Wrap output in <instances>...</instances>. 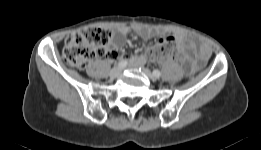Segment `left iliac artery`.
I'll return each mask as SVG.
<instances>
[{
    "instance_id": "44dca946",
    "label": "left iliac artery",
    "mask_w": 261,
    "mask_h": 150,
    "mask_svg": "<svg viewBox=\"0 0 261 150\" xmlns=\"http://www.w3.org/2000/svg\"><path fill=\"white\" fill-rule=\"evenodd\" d=\"M153 75H154L156 78H158V77H160L161 73H160L159 70H154V71H153Z\"/></svg>"
}]
</instances>
